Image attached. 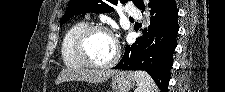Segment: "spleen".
<instances>
[{"label":"spleen","mask_w":225,"mask_h":92,"mask_svg":"<svg viewBox=\"0 0 225 92\" xmlns=\"http://www.w3.org/2000/svg\"><path fill=\"white\" fill-rule=\"evenodd\" d=\"M135 92H159V89L150 75L144 71H135Z\"/></svg>","instance_id":"obj_1"}]
</instances>
